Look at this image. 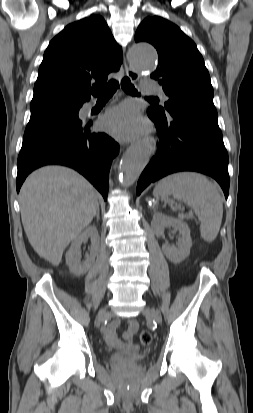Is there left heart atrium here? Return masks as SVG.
I'll return each mask as SVG.
<instances>
[{
    "label": "left heart atrium",
    "instance_id": "left-heart-atrium-1",
    "mask_svg": "<svg viewBox=\"0 0 253 413\" xmlns=\"http://www.w3.org/2000/svg\"><path fill=\"white\" fill-rule=\"evenodd\" d=\"M102 127L122 138L132 139L147 130V123L132 104H122L111 109L101 121Z\"/></svg>",
    "mask_w": 253,
    "mask_h": 413
}]
</instances>
